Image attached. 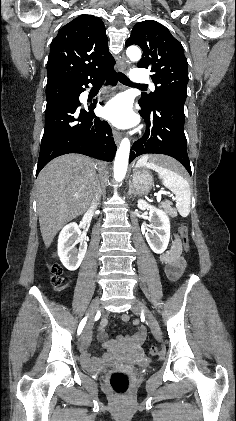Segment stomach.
Segmentation results:
<instances>
[{"instance_id": "0dacf381", "label": "stomach", "mask_w": 236, "mask_h": 421, "mask_svg": "<svg viewBox=\"0 0 236 421\" xmlns=\"http://www.w3.org/2000/svg\"><path fill=\"white\" fill-rule=\"evenodd\" d=\"M136 194H147L153 184V176L147 168H134L131 176Z\"/></svg>"}]
</instances>
